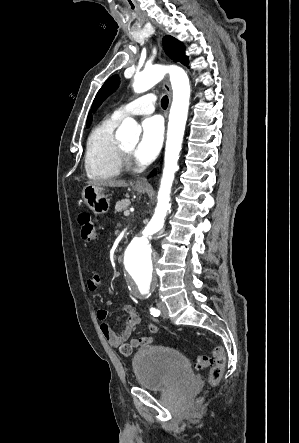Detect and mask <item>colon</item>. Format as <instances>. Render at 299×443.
Instances as JSON below:
<instances>
[{
    "instance_id": "colon-1",
    "label": "colon",
    "mask_w": 299,
    "mask_h": 443,
    "mask_svg": "<svg viewBox=\"0 0 299 443\" xmlns=\"http://www.w3.org/2000/svg\"><path fill=\"white\" fill-rule=\"evenodd\" d=\"M81 236L84 241H93L96 237L95 225L89 213L83 212L78 216ZM226 364L225 351L222 347H215L212 350V356L202 354L198 355L195 362L196 369H204L213 365L209 375V381L212 385L217 384L223 377Z\"/></svg>"
}]
</instances>
